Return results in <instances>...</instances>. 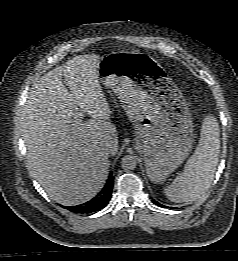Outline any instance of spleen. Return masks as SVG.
Masks as SVG:
<instances>
[{
  "label": "spleen",
  "instance_id": "3e777b00",
  "mask_svg": "<svg viewBox=\"0 0 238 261\" xmlns=\"http://www.w3.org/2000/svg\"><path fill=\"white\" fill-rule=\"evenodd\" d=\"M220 131L214 116L204 118L199 144L188 159L184 171L164 189L173 202L194 201L210 188L219 160Z\"/></svg>",
  "mask_w": 238,
  "mask_h": 261
}]
</instances>
